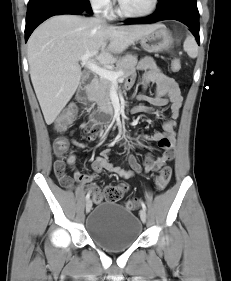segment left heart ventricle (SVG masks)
Instances as JSON below:
<instances>
[{
  "label": "left heart ventricle",
  "mask_w": 231,
  "mask_h": 281,
  "mask_svg": "<svg viewBox=\"0 0 231 281\" xmlns=\"http://www.w3.org/2000/svg\"><path fill=\"white\" fill-rule=\"evenodd\" d=\"M124 7L130 11L143 12L148 10L153 0H121Z\"/></svg>",
  "instance_id": "obj_1"
}]
</instances>
